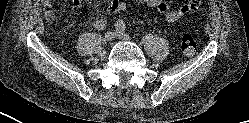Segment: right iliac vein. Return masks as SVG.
Segmentation results:
<instances>
[{"label":"right iliac vein","mask_w":249,"mask_h":123,"mask_svg":"<svg viewBox=\"0 0 249 123\" xmlns=\"http://www.w3.org/2000/svg\"><path fill=\"white\" fill-rule=\"evenodd\" d=\"M114 39V34L112 32H107L105 34V41L106 42H111Z\"/></svg>","instance_id":"obj_1"}]
</instances>
